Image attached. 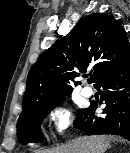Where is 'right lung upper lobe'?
Segmentation results:
<instances>
[{
  "instance_id": "cb5924a9",
  "label": "right lung upper lobe",
  "mask_w": 130,
  "mask_h": 153,
  "mask_svg": "<svg viewBox=\"0 0 130 153\" xmlns=\"http://www.w3.org/2000/svg\"><path fill=\"white\" fill-rule=\"evenodd\" d=\"M130 57L126 32L113 16L97 13L80 20L62 39L41 54L32 66L23 98L22 113L69 93L70 83L88 68L89 83Z\"/></svg>"
}]
</instances>
